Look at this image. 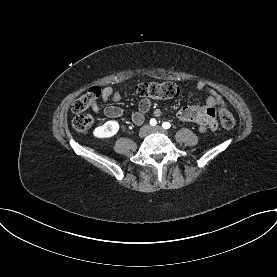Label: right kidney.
I'll return each mask as SVG.
<instances>
[{
    "label": "right kidney",
    "mask_w": 277,
    "mask_h": 277,
    "mask_svg": "<svg viewBox=\"0 0 277 277\" xmlns=\"http://www.w3.org/2000/svg\"><path fill=\"white\" fill-rule=\"evenodd\" d=\"M119 130V123L114 120L107 121L104 125L98 126L94 129L93 135L96 138H110L114 136Z\"/></svg>",
    "instance_id": "obj_1"
}]
</instances>
